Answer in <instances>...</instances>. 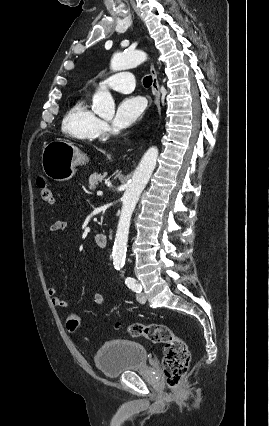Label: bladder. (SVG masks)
I'll use <instances>...</instances> for the list:
<instances>
[{
    "instance_id": "bladder-1",
    "label": "bladder",
    "mask_w": 269,
    "mask_h": 426,
    "mask_svg": "<svg viewBox=\"0 0 269 426\" xmlns=\"http://www.w3.org/2000/svg\"><path fill=\"white\" fill-rule=\"evenodd\" d=\"M94 362L104 376L115 378L147 366L148 354L140 343L118 338L102 345L94 355Z\"/></svg>"
}]
</instances>
